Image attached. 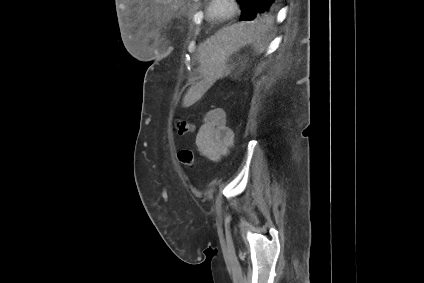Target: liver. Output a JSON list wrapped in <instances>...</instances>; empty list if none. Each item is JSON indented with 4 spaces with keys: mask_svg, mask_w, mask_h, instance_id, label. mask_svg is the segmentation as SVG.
<instances>
[{
    "mask_svg": "<svg viewBox=\"0 0 424 283\" xmlns=\"http://www.w3.org/2000/svg\"><path fill=\"white\" fill-rule=\"evenodd\" d=\"M247 31H250V29H245L241 25H234L232 27L226 28L220 34L211 38V40L207 42L208 46L203 44L199 47L200 54L198 59L200 63V69L201 73L206 76L207 79H211L213 77L214 71L216 69V63L238 46V43L241 41L242 37ZM217 43H222L223 46L220 54H218L215 50L218 48ZM195 94L196 87L193 86L184 96L183 106L190 105L194 101Z\"/></svg>",
    "mask_w": 424,
    "mask_h": 283,
    "instance_id": "1",
    "label": "liver"
}]
</instances>
